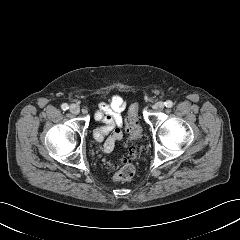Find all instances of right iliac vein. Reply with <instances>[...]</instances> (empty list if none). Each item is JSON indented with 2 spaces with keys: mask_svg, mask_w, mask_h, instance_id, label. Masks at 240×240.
<instances>
[{
  "mask_svg": "<svg viewBox=\"0 0 240 240\" xmlns=\"http://www.w3.org/2000/svg\"><path fill=\"white\" fill-rule=\"evenodd\" d=\"M69 110L73 114H78L80 112V108L76 104H71Z\"/></svg>",
  "mask_w": 240,
  "mask_h": 240,
  "instance_id": "63e3f726",
  "label": "right iliac vein"
}]
</instances>
